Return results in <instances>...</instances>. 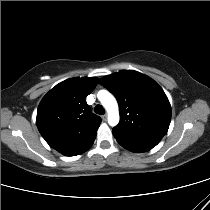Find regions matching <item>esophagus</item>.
I'll return each instance as SVG.
<instances>
[{
  "label": "esophagus",
  "mask_w": 210,
  "mask_h": 210,
  "mask_svg": "<svg viewBox=\"0 0 210 210\" xmlns=\"http://www.w3.org/2000/svg\"><path fill=\"white\" fill-rule=\"evenodd\" d=\"M101 118H102L103 121H106L107 120V115L104 114V115L101 116Z\"/></svg>",
  "instance_id": "1"
}]
</instances>
